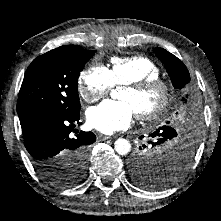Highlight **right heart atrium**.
I'll return each mask as SVG.
<instances>
[{
  "label": "right heart atrium",
  "instance_id": "right-heart-atrium-1",
  "mask_svg": "<svg viewBox=\"0 0 221 221\" xmlns=\"http://www.w3.org/2000/svg\"><path fill=\"white\" fill-rule=\"evenodd\" d=\"M114 83L109 70L104 66H92L83 71L78 79V89L86 102H93L107 94Z\"/></svg>",
  "mask_w": 221,
  "mask_h": 221
}]
</instances>
